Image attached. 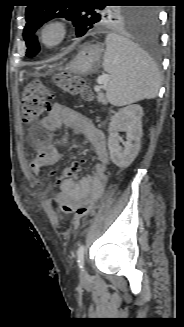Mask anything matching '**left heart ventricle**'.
<instances>
[{
  "label": "left heart ventricle",
  "mask_w": 184,
  "mask_h": 327,
  "mask_svg": "<svg viewBox=\"0 0 184 327\" xmlns=\"http://www.w3.org/2000/svg\"><path fill=\"white\" fill-rule=\"evenodd\" d=\"M56 36V32L54 30H50L48 33H47V39L48 40H53Z\"/></svg>",
  "instance_id": "left-heart-ventricle-1"
}]
</instances>
